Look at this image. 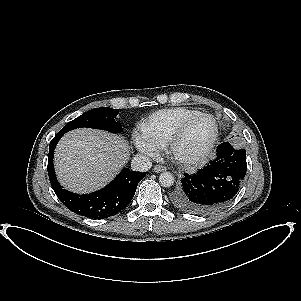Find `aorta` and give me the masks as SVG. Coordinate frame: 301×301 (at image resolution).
Segmentation results:
<instances>
[{"instance_id":"obj_1","label":"aorta","mask_w":301,"mask_h":301,"mask_svg":"<svg viewBox=\"0 0 301 301\" xmlns=\"http://www.w3.org/2000/svg\"><path fill=\"white\" fill-rule=\"evenodd\" d=\"M174 181V176L170 172H163L159 176V183L162 187H171Z\"/></svg>"}]
</instances>
